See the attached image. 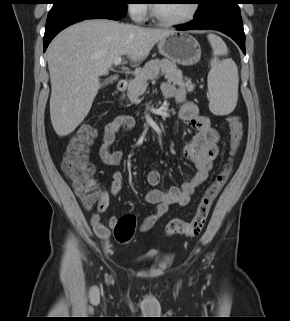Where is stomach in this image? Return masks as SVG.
<instances>
[{
  "mask_svg": "<svg viewBox=\"0 0 290 321\" xmlns=\"http://www.w3.org/2000/svg\"><path fill=\"white\" fill-rule=\"evenodd\" d=\"M158 50L174 63L191 66L201 58V47L198 41L187 32L173 31L158 42Z\"/></svg>",
  "mask_w": 290,
  "mask_h": 321,
  "instance_id": "obj_1",
  "label": "stomach"
}]
</instances>
